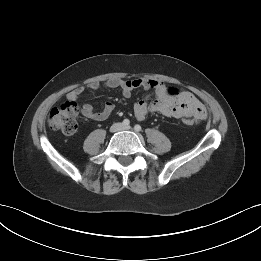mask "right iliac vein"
<instances>
[{
  "instance_id": "63e3f726",
  "label": "right iliac vein",
  "mask_w": 261,
  "mask_h": 261,
  "mask_svg": "<svg viewBox=\"0 0 261 261\" xmlns=\"http://www.w3.org/2000/svg\"><path fill=\"white\" fill-rule=\"evenodd\" d=\"M121 128H122V125L120 123H116L111 126L110 131L117 132V131L121 130Z\"/></svg>"
}]
</instances>
